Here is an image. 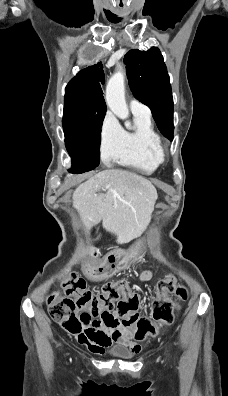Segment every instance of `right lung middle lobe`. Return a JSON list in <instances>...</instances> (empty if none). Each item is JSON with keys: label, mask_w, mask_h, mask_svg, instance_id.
<instances>
[{"label": "right lung middle lobe", "mask_w": 228, "mask_h": 396, "mask_svg": "<svg viewBox=\"0 0 228 396\" xmlns=\"http://www.w3.org/2000/svg\"><path fill=\"white\" fill-rule=\"evenodd\" d=\"M106 110L86 112L64 101L63 130L72 159L71 173L93 170L100 162L101 127Z\"/></svg>", "instance_id": "right-lung-middle-lobe-1"}]
</instances>
